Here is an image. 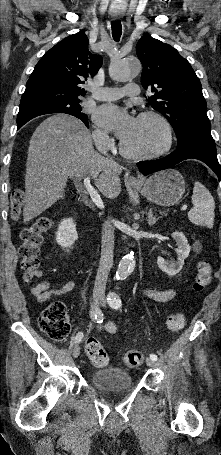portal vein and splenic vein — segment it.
<instances>
[{
	"mask_svg": "<svg viewBox=\"0 0 221 455\" xmlns=\"http://www.w3.org/2000/svg\"><path fill=\"white\" fill-rule=\"evenodd\" d=\"M84 187L86 188L88 194L90 195L92 201L94 202V204L100 208V209H103L104 208V204L102 202V199L100 198V195L98 194V192L94 189V187L91 185V179L90 177H85L84 178ZM188 207L187 205H183L181 210H186Z\"/></svg>",
	"mask_w": 221,
	"mask_h": 455,
	"instance_id": "1",
	"label": "portal vein and splenic vein"
}]
</instances>
